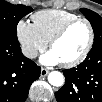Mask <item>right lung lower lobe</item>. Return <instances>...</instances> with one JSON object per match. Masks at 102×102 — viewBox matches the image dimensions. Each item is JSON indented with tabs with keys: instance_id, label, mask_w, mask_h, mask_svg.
<instances>
[{
	"instance_id": "98d812e1",
	"label": "right lung lower lobe",
	"mask_w": 102,
	"mask_h": 102,
	"mask_svg": "<svg viewBox=\"0 0 102 102\" xmlns=\"http://www.w3.org/2000/svg\"><path fill=\"white\" fill-rule=\"evenodd\" d=\"M41 68L21 53L17 39L0 38V101L24 102Z\"/></svg>"
}]
</instances>
